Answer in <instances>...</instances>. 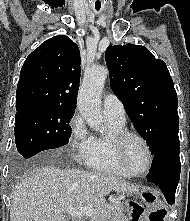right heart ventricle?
Returning <instances> with one entry per match:
<instances>
[{
  "label": "right heart ventricle",
  "instance_id": "e07e8e85",
  "mask_svg": "<svg viewBox=\"0 0 190 221\" xmlns=\"http://www.w3.org/2000/svg\"><path fill=\"white\" fill-rule=\"evenodd\" d=\"M107 123V133L93 136L92 152L85 165L98 172L129 177L131 175L118 164L113 146L115 136L126 130L125 122H117L107 118Z\"/></svg>",
  "mask_w": 190,
  "mask_h": 221
}]
</instances>
